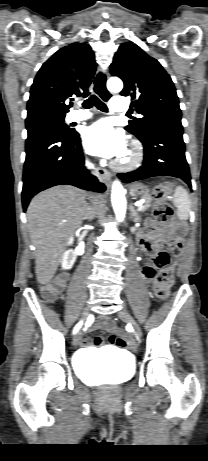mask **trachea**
I'll use <instances>...</instances> for the list:
<instances>
[{
    "label": "trachea",
    "instance_id": "trachea-1",
    "mask_svg": "<svg viewBox=\"0 0 208 461\" xmlns=\"http://www.w3.org/2000/svg\"><path fill=\"white\" fill-rule=\"evenodd\" d=\"M95 92L104 100L107 101L110 97V94L106 91L105 88V75L99 73L95 80ZM96 106L99 110L103 112H108L107 106L96 96L91 95L87 100L82 103V107L85 109H90L92 106ZM130 115V114H127Z\"/></svg>",
    "mask_w": 208,
    "mask_h": 461
}]
</instances>
